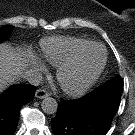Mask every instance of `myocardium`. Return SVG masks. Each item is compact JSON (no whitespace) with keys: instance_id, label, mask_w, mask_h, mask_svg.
Masks as SVG:
<instances>
[{"instance_id":"obj_1","label":"myocardium","mask_w":135,"mask_h":135,"mask_svg":"<svg viewBox=\"0 0 135 135\" xmlns=\"http://www.w3.org/2000/svg\"><path fill=\"white\" fill-rule=\"evenodd\" d=\"M92 46H99L103 49L104 57L101 65L90 75L86 76L81 82L75 85H68L64 82L66 72L74 69L81 61L84 54ZM107 62V50L105 46L99 42H92L80 49L73 57L59 64L56 71V78L62 89L69 95H79L88 89L101 75Z\"/></svg>"}]
</instances>
